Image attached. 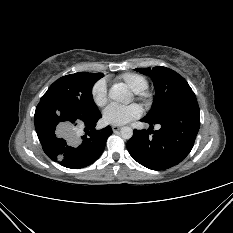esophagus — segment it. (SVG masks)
Returning a JSON list of instances; mask_svg holds the SVG:
<instances>
[{
	"mask_svg": "<svg viewBox=\"0 0 233 233\" xmlns=\"http://www.w3.org/2000/svg\"><path fill=\"white\" fill-rule=\"evenodd\" d=\"M120 129H121V126H117V125H113V126H112V130H113L114 132L119 131Z\"/></svg>",
	"mask_w": 233,
	"mask_h": 233,
	"instance_id": "obj_1",
	"label": "esophagus"
}]
</instances>
